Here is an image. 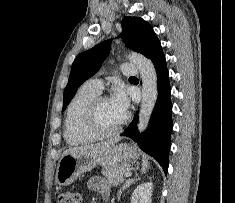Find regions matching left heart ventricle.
<instances>
[{"instance_id":"b2bd125f","label":"left heart ventricle","mask_w":235,"mask_h":203,"mask_svg":"<svg viewBox=\"0 0 235 203\" xmlns=\"http://www.w3.org/2000/svg\"><path fill=\"white\" fill-rule=\"evenodd\" d=\"M97 117L101 128L112 130L123 121L125 116L113 105L110 99H107L100 103Z\"/></svg>"}]
</instances>
